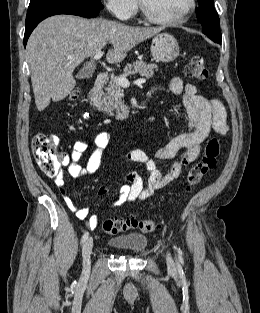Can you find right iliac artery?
Masks as SVG:
<instances>
[{"label":"right iliac artery","mask_w":260,"mask_h":313,"mask_svg":"<svg viewBox=\"0 0 260 313\" xmlns=\"http://www.w3.org/2000/svg\"><path fill=\"white\" fill-rule=\"evenodd\" d=\"M88 235H89L88 232H85V233H84V235L82 236V239H81V243H84V242L87 240Z\"/></svg>","instance_id":"82829eb1"}]
</instances>
